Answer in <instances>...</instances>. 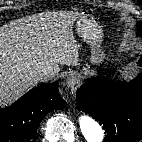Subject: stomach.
<instances>
[{
    "label": "stomach",
    "instance_id": "1",
    "mask_svg": "<svg viewBox=\"0 0 142 142\" xmlns=\"http://www.w3.org/2000/svg\"><path fill=\"white\" fill-rule=\"evenodd\" d=\"M75 21L78 36L91 47L90 61L94 64L101 62L105 57L101 49L102 28L95 20L84 14H80Z\"/></svg>",
    "mask_w": 142,
    "mask_h": 142
}]
</instances>
